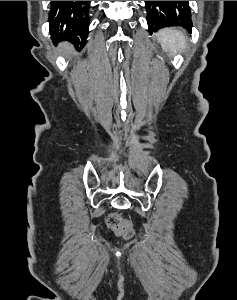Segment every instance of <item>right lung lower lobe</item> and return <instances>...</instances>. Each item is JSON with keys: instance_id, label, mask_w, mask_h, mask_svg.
Here are the masks:
<instances>
[{"instance_id": "obj_1", "label": "right lung lower lobe", "mask_w": 237, "mask_h": 300, "mask_svg": "<svg viewBox=\"0 0 237 300\" xmlns=\"http://www.w3.org/2000/svg\"><path fill=\"white\" fill-rule=\"evenodd\" d=\"M90 1H51L50 33L57 43L67 40L81 50L88 36Z\"/></svg>"}]
</instances>
